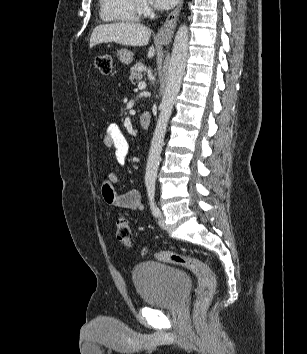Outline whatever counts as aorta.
<instances>
[{
  "instance_id": "aorta-1",
  "label": "aorta",
  "mask_w": 307,
  "mask_h": 354,
  "mask_svg": "<svg viewBox=\"0 0 307 354\" xmlns=\"http://www.w3.org/2000/svg\"><path fill=\"white\" fill-rule=\"evenodd\" d=\"M188 46V27L186 25H181L176 33L172 55L168 63L166 88L160 104V114L149 150L145 173V184L147 186L155 185L164 137L185 72Z\"/></svg>"
}]
</instances>
